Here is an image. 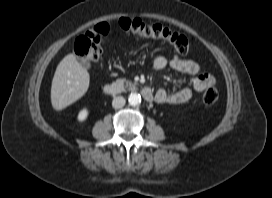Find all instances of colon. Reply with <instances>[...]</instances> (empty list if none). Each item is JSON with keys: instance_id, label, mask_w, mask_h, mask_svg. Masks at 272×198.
Segmentation results:
<instances>
[{"instance_id": "1", "label": "colon", "mask_w": 272, "mask_h": 198, "mask_svg": "<svg viewBox=\"0 0 272 198\" xmlns=\"http://www.w3.org/2000/svg\"><path fill=\"white\" fill-rule=\"evenodd\" d=\"M119 27L122 31L144 38L159 39L169 43L177 52L188 53L190 50L187 38L161 24H148L139 18L124 17L119 20ZM110 27L107 23L101 22L78 37L74 43V53L80 59L94 63L100 59L102 49L101 40L108 34ZM218 99L215 88L209 87L205 90L202 101L204 105L211 107Z\"/></svg>"}]
</instances>
